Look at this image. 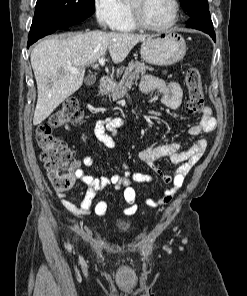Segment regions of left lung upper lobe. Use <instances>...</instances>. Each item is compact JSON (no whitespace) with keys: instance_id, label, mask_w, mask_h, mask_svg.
Segmentation results:
<instances>
[{"instance_id":"1","label":"left lung upper lobe","mask_w":247,"mask_h":296,"mask_svg":"<svg viewBox=\"0 0 247 296\" xmlns=\"http://www.w3.org/2000/svg\"><path fill=\"white\" fill-rule=\"evenodd\" d=\"M180 2L191 17L209 9L207 0H180Z\"/></svg>"}]
</instances>
